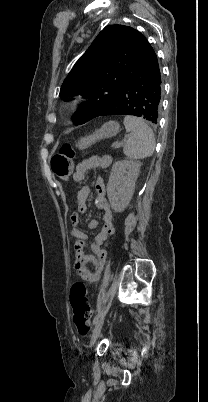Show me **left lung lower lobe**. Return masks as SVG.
I'll return each instance as SVG.
<instances>
[{
	"mask_svg": "<svg viewBox=\"0 0 208 402\" xmlns=\"http://www.w3.org/2000/svg\"><path fill=\"white\" fill-rule=\"evenodd\" d=\"M136 69L120 88L116 99L98 116L135 115L157 124L161 109L162 79L156 53L147 39L137 30Z\"/></svg>",
	"mask_w": 208,
	"mask_h": 402,
	"instance_id": "left-lung-lower-lobe-1",
	"label": "left lung lower lobe"
}]
</instances>
